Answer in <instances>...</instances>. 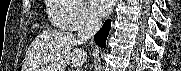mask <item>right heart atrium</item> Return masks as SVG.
Instances as JSON below:
<instances>
[{
	"instance_id": "1",
	"label": "right heart atrium",
	"mask_w": 181,
	"mask_h": 71,
	"mask_svg": "<svg viewBox=\"0 0 181 71\" xmlns=\"http://www.w3.org/2000/svg\"><path fill=\"white\" fill-rule=\"evenodd\" d=\"M64 7L63 24L67 30H77L97 24L98 19L83 0H54Z\"/></svg>"
}]
</instances>
